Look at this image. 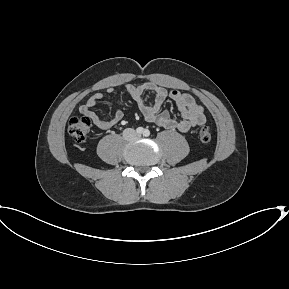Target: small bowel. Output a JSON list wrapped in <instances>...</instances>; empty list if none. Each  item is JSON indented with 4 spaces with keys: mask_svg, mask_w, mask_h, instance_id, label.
Instances as JSON below:
<instances>
[{
    "mask_svg": "<svg viewBox=\"0 0 289 289\" xmlns=\"http://www.w3.org/2000/svg\"><path fill=\"white\" fill-rule=\"evenodd\" d=\"M125 91L137 103L144 119L147 122L155 123L166 129H177L180 132H187L191 128L203 125L206 122L205 110L190 94L178 90H167L166 88L147 82L141 85L128 84ZM108 93L113 88L107 89ZM146 94L151 95L148 101ZM102 92L92 94L80 107V113L88 117L98 128L107 130L118 124L123 119V112L116 110L111 119H104L98 116L93 107L103 98ZM174 101L181 113V119H175L168 110L160 111L166 99Z\"/></svg>",
    "mask_w": 289,
    "mask_h": 289,
    "instance_id": "1",
    "label": "small bowel"
}]
</instances>
